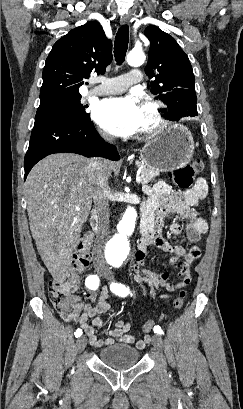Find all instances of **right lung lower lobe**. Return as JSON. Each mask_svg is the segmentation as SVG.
I'll return each instance as SVG.
<instances>
[{
	"mask_svg": "<svg viewBox=\"0 0 243 409\" xmlns=\"http://www.w3.org/2000/svg\"><path fill=\"white\" fill-rule=\"evenodd\" d=\"M62 152L119 159L116 147L103 141L90 119L77 122L69 118L39 115L35 118L24 159V178L39 160Z\"/></svg>",
	"mask_w": 243,
	"mask_h": 409,
	"instance_id": "1",
	"label": "right lung lower lobe"
}]
</instances>
